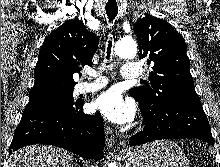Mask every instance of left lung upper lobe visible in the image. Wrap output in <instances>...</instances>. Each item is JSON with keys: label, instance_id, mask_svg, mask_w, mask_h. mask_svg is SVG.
Segmentation results:
<instances>
[{"label": "left lung upper lobe", "instance_id": "1", "mask_svg": "<svg viewBox=\"0 0 220 167\" xmlns=\"http://www.w3.org/2000/svg\"><path fill=\"white\" fill-rule=\"evenodd\" d=\"M138 38L139 59L152 64L149 83L130 90V95L147 107H156L168 96L199 99L184 38L165 20L147 14L134 28Z\"/></svg>", "mask_w": 220, "mask_h": 167}]
</instances>
